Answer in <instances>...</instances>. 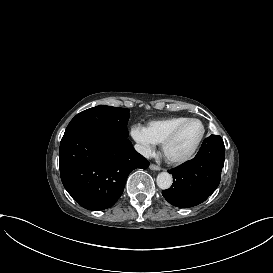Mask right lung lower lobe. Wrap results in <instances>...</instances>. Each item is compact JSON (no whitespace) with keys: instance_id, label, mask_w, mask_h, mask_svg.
<instances>
[{"instance_id":"98d812e1","label":"right lung lower lobe","mask_w":273,"mask_h":273,"mask_svg":"<svg viewBox=\"0 0 273 273\" xmlns=\"http://www.w3.org/2000/svg\"><path fill=\"white\" fill-rule=\"evenodd\" d=\"M60 176L72 198L88 210H104L122 195L129 173L149 162L127 138L82 130L64 134Z\"/></svg>"}]
</instances>
